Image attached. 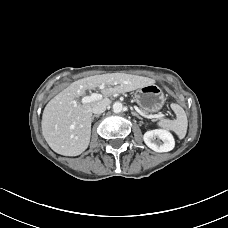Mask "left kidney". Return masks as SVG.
Masks as SVG:
<instances>
[{"label": "left kidney", "instance_id": "1", "mask_svg": "<svg viewBox=\"0 0 228 228\" xmlns=\"http://www.w3.org/2000/svg\"><path fill=\"white\" fill-rule=\"evenodd\" d=\"M143 139L145 144L156 152H168L175 146L172 134L162 129L147 131L144 134Z\"/></svg>", "mask_w": 228, "mask_h": 228}]
</instances>
